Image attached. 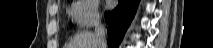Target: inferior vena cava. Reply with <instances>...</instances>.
I'll list each match as a JSON object with an SVG mask.
<instances>
[{
	"label": "inferior vena cava",
	"instance_id": "1",
	"mask_svg": "<svg viewBox=\"0 0 213 48\" xmlns=\"http://www.w3.org/2000/svg\"><path fill=\"white\" fill-rule=\"evenodd\" d=\"M95 26V38L98 44V48H106L105 29L100 22V17L97 16L94 22Z\"/></svg>",
	"mask_w": 213,
	"mask_h": 48
}]
</instances>
